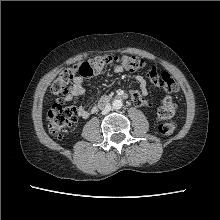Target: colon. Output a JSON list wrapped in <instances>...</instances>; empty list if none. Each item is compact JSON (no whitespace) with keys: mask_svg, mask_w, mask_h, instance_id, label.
<instances>
[{"mask_svg":"<svg viewBox=\"0 0 220 220\" xmlns=\"http://www.w3.org/2000/svg\"><path fill=\"white\" fill-rule=\"evenodd\" d=\"M110 63H119L130 72L141 71L146 65L142 58L135 55H106L94 57L80 65L61 69L50 85V92L56 98V102L49 111L50 131L55 137H62L66 134L76 120V107L74 105H65V101L68 100L70 85L76 75H87L94 66ZM147 76L151 83L160 87L167 94L178 90L175 78L168 72L158 73L155 67H150L147 71ZM175 114L176 105L169 96H166L158 109V117L161 120L159 133L161 135L169 136L174 132L175 126L171 120Z\"/></svg>","mask_w":220,"mask_h":220,"instance_id":"1","label":"colon"}]
</instances>
